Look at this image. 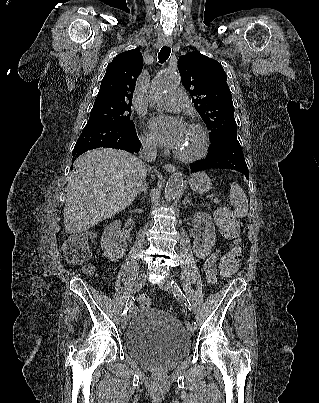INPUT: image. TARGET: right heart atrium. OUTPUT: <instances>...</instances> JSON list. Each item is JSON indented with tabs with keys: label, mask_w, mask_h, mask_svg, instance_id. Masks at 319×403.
I'll return each instance as SVG.
<instances>
[{
	"label": "right heart atrium",
	"mask_w": 319,
	"mask_h": 403,
	"mask_svg": "<svg viewBox=\"0 0 319 403\" xmlns=\"http://www.w3.org/2000/svg\"><path fill=\"white\" fill-rule=\"evenodd\" d=\"M141 141H142V143H143L145 148L154 149V147H155L154 140L148 134H142L141 135Z\"/></svg>",
	"instance_id": "right-heart-atrium-1"
}]
</instances>
